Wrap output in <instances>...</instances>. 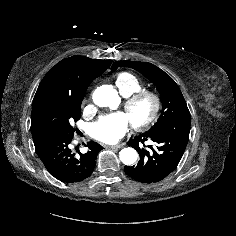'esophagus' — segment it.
<instances>
[{"mask_svg": "<svg viewBox=\"0 0 236 236\" xmlns=\"http://www.w3.org/2000/svg\"><path fill=\"white\" fill-rule=\"evenodd\" d=\"M108 148H112V149H119L122 147V144H118V145H113V146H106Z\"/></svg>", "mask_w": 236, "mask_h": 236, "instance_id": "1", "label": "esophagus"}]
</instances>
